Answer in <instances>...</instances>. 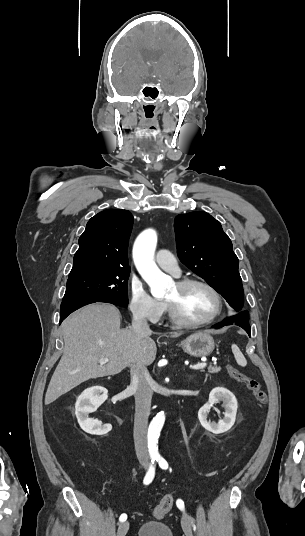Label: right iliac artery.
Instances as JSON below:
<instances>
[{"label": "right iliac artery", "instance_id": "right-iliac-artery-1", "mask_svg": "<svg viewBox=\"0 0 305 536\" xmlns=\"http://www.w3.org/2000/svg\"><path fill=\"white\" fill-rule=\"evenodd\" d=\"M154 461H155V458H153V459L151 460V465H150L149 470H148V472L146 473V476H145V478H144V481H143V482H144L145 485L150 484V483L152 482L153 478H154V474H155V469H154V467H153ZM126 519H127V515L124 514V513H123V514L120 516V518H119L120 522H123V521H125Z\"/></svg>", "mask_w": 305, "mask_h": 536}]
</instances>
